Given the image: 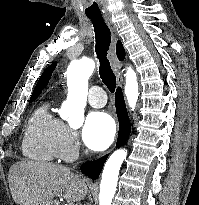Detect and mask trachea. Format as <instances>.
Listing matches in <instances>:
<instances>
[{"label":"trachea","instance_id":"trachea-1","mask_svg":"<svg viewBox=\"0 0 199 205\" xmlns=\"http://www.w3.org/2000/svg\"><path fill=\"white\" fill-rule=\"evenodd\" d=\"M92 21L95 32V52L99 60V74L102 82L107 86L110 92L116 88V76L113 73L110 62L107 59V52L111 43L110 29L105 23L103 17H89Z\"/></svg>","mask_w":199,"mask_h":205}]
</instances>
